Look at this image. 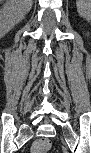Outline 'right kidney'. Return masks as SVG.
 Returning a JSON list of instances; mask_svg holds the SVG:
<instances>
[{"label": "right kidney", "instance_id": "obj_1", "mask_svg": "<svg viewBox=\"0 0 91 153\" xmlns=\"http://www.w3.org/2000/svg\"><path fill=\"white\" fill-rule=\"evenodd\" d=\"M30 7L22 0H7L0 11V34L4 36L29 12Z\"/></svg>", "mask_w": 91, "mask_h": 153}]
</instances>
